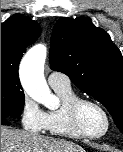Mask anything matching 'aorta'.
<instances>
[{
  "mask_svg": "<svg viewBox=\"0 0 123 152\" xmlns=\"http://www.w3.org/2000/svg\"><path fill=\"white\" fill-rule=\"evenodd\" d=\"M47 48L43 44L33 46L25 54L20 65L21 82L25 92L36 102L52 109L55 97L44 78Z\"/></svg>",
  "mask_w": 123,
  "mask_h": 152,
  "instance_id": "762f6f07",
  "label": "aorta"
}]
</instances>
